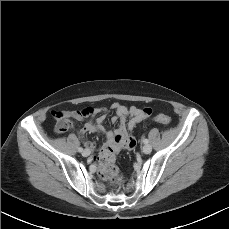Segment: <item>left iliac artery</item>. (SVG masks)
<instances>
[{"label": "left iliac artery", "instance_id": "1", "mask_svg": "<svg viewBox=\"0 0 229 229\" xmlns=\"http://www.w3.org/2000/svg\"><path fill=\"white\" fill-rule=\"evenodd\" d=\"M143 142H144L145 144H147V143H148V139L144 138V139H143Z\"/></svg>", "mask_w": 229, "mask_h": 229}]
</instances>
